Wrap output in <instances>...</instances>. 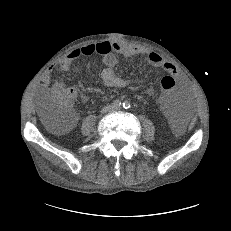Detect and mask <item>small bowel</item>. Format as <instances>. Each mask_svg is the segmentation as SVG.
I'll return each mask as SVG.
<instances>
[{
  "label": "small bowel",
  "mask_w": 231,
  "mask_h": 231,
  "mask_svg": "<svg viewBox=\"0 0 231 231\" xmlns=\"http://www.w3.org/2000/svg\"><path fill=\"white\" fill-rule=\"evenodd\" d=\"M144 53L143 49L129 46L120 42H99L95 44H88L81 48L74 49L68 55H66L63 59L58 63L56 70L64 71L68 70L72 67L74 62L81 56H91L93 54H98L102 56V61L104 64V68L101 72L102 83L107 87L112 88H124L130 86L142 85L145 80L143 78H124L118 75L115 71V66L117 64L118 55H122L124 57H135L142 55ZM147 62L154 66L160 67L164 71H166L169 75L173 76L174 79L179 77V71L177 67L166 61L160 54L151 52L147 55ZM50 85V77L45 76L41 81L42 87H48ZM57 88V87H56ZM81 99L83 101H87L88 97L85 94H81ZM169 102L168 96H163L160 99L161 107L163 110L167 111V103ZM74 123V122H73Z\"/></svg>",
  "instance_id": "small-bowel-1"
}]
</instances>
